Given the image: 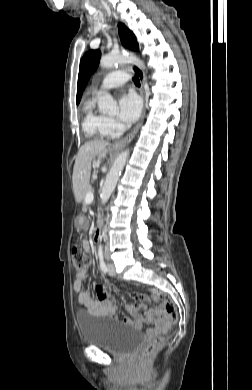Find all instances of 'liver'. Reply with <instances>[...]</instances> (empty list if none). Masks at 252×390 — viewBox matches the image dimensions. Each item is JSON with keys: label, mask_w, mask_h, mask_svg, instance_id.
I'll use <instances>...</instances> for the list:
<instances>
[{"label": "liver", "mask_w": 252, "mask_h": 390, "mask_svg": "<svg viewBox=\"0 0 252 390\" xmlns=\"http://www.w3.org/2000/svg\"><path fill=\"white\" fill-rule=\"evenodd\" d=\"M107 146L108 143L105 141H91L79 149L72 176L73 191L78 201L82 200L87 193L92 160L96 157L98 160L105 158L108 153Z\"/></svg>", "instance_id": "liver-1"}]
</instances>
